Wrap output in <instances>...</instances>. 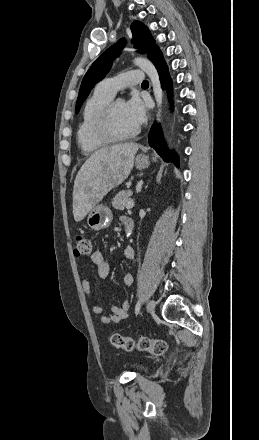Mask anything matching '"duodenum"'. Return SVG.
<instances>
[{"mask_svg": "<svg viewBox=\"0 0 259 440\" xmlns=\"http://www.w3.org/2000/svg\"><path fill=\"white\" fill-rule=\"evenodd\" d=\"M133 229H134V222H133V220L130 219V218H127V219L124 221V230H125V233L129 236V235L132 234Z\"/></svg>", "mask_w": 259, "mask_h": 440, "instance_id": "duodenum-1", "label": "duodenum"}]
</instances>
